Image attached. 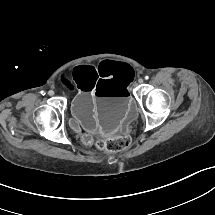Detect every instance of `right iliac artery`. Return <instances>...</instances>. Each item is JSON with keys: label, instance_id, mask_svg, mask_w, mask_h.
<instances>
[{"label": "right iliac artery", "instance_id": "1", "mask_svg": "<svg viewBox=\"0 0 215 215\" xmlns=\"http://www.w3.org/2000/svg\"><path fill=\"white\" fill-rule=\"evenodd\" d=\"M41 94H42V95H45V92H44V91H41Z\"/></svg>", "mask_w": 215, "mask_h": 215}]
</instances>
